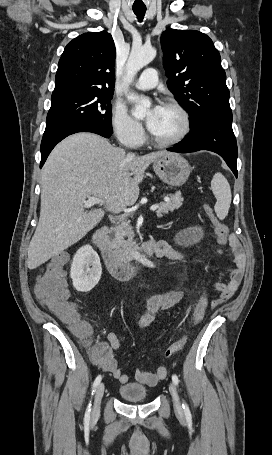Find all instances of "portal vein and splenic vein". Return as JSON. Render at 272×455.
<instances>
[{
  "instance_id": "obj_1",
  "label": "portal vein and splenic vein",
  "mask_w": 272,
  "mask_h": 455,
  "mask_svg": "<svg viewBox=\"0 0 272 455\" xmlns=\"http://www.w3.org/2000/svg\"><path fill=\"white\" fill-rule=\"evenodd\" d=\"M102 203H103V201L100 198L93 197V196H88L87 197V201L84 202V207L85 208H89V207H91L93 205H96V204H100L101 205ZM150 209H151V211H156L158 209V205L155 204V205L151 206ZM122 220H123V218H122ZM123 224H125V222H123Z\"/></svg>"
}]
</instances>
